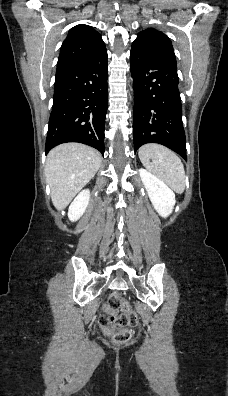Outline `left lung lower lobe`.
Masks as SVG:
<instances>
[{"instance_id": "obj_1", "label": "left lung lower lobe", "mask_w": 228, "mask_h": 396, "mask_svg": "<svg viewBox=\"0 0 228 396\" xmlns=\"http://www.w3.org/2000/svg\"><path fill=\"white\" fill-rule=\"evenodd\" d=\"M130 69L134 78L135 152L146 143H159L186 160L176 59L161 49L133 43Z\"/></svg>"}]
</instances>
